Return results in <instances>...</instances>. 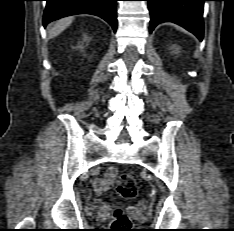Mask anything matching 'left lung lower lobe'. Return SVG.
I'll return each mask as SVG.
<instances>
[{
    "instance_id": "1",
    "label": "left lung lower lobe",
    "mask_w": 234,
    "mask_h": 231,
    "mask_svg": "<svg viewBox=\"0 0 234 231\" xmlns=\"http://www.w3.org/2000/svg\"><path fill=\"white\" fill-rule=\"evenodd\" d=\"M151 15L150 32L162 22L176 23L199 40L203 38V5L208 0H146Z\"/></svg>"
}]
</instances>
